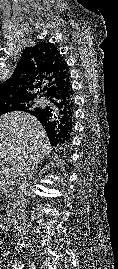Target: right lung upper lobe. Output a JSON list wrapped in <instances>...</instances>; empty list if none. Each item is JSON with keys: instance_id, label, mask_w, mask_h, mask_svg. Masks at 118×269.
<instances>
[{"instance_id": "obj_1", "label": "right lung upper lobe", "mask_w": 118, "mask_h": 269, "mask_svg": "<svg viewBox=\"0 0 118 269\" xmlns=\"http://www.w3.org/2000/svg\"><path fill=\"white\" fill-rule=\"evenodd\" d=\"M67 63L52 43L42 42L23 51L12 76L0 84V105L29 101L25 111L43 125L50 140L66 132L73 114L72 93ZM46 106L34 107L37 97Z\"/></svg>"}]
</instances>
